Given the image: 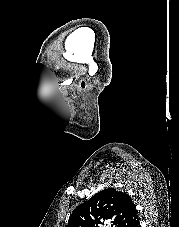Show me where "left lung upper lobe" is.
I'll return each instance as SVG.
<instances>
[{
    "label": "left lung upper lobe",
    "instance_id": "obj_1",
    "mask_svg": "<svg viewBox=\"0 0 179 227\" xmlns=\"http://www.w3.org/2000/svg\"><path fill=\"white\" fill-rule=\"evenodd\" d=\"M139 227L135 205L128 194L104 189L79 205L66 227Z\"/></svg>",
    "mask_w": 179,
    "mask_h": 227
}]
</instances>
